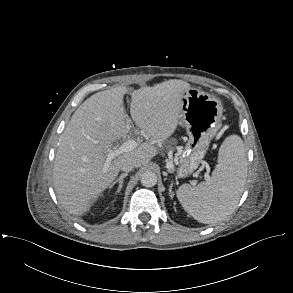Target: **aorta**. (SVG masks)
I'll use <instances>...</instances> for the list:
<instances>
[{"mask_svg": "<svg viewBox=\"0 0 293 293\" xmlns=\"http://www.w3.org/2000/svg\"><path fill=\"white\" fill-rule=\"evenodd\" d=\"M140 181L145 187H153L157 183V175L152 171H145L141 174Z\"/></svg>", "mask_w": 293, "mask_h": 293, "instance_id": "1", "label": "aorta"}]
</instances>
